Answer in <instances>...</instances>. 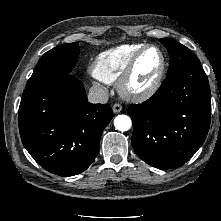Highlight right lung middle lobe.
I'll list each match as a JSON object with an SVG mask.
<instances>
[{"label":"right lung middle lobe","mask_w":221,"mask_h":221,"mask_svg":"<svg viewBox=\"0 0 221 221\" xmlns=\"http://www.w3.org/2000/svg\"><path fill=\"white\" fill-rule=\"evenodd\" d=\"M79 51L77 42L55 47L43 54L32 76L42 74L61 76L69 74L77 63Z\"/></svg>","instance_id":"right-lung-middle-lobe-1"}]
</instances>
